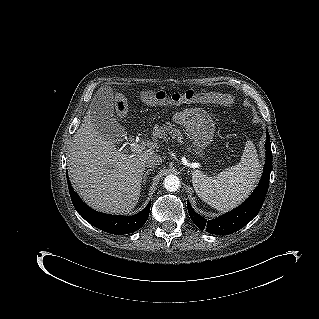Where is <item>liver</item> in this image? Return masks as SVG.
<instances>
[{
	"instance_id": "6515ba94",
	"label": "liver",
	"mask_w": 319,
	"mask_h": 319,
	"mask_svg": "<svg viewBox=\"0 0 319 319\" xmlns=\"http://www.w3.org/2000/svg\"><path fill=\"white\" fill-rule=\"evenodd\" d=\"M117 137L96 130L89 108L73 136L68 171L74 189L89 206L126 214L138 203L146 160L155 151L151 147L138 153L121 152L115 145Z\"/></svg>"
}]
</instances>
